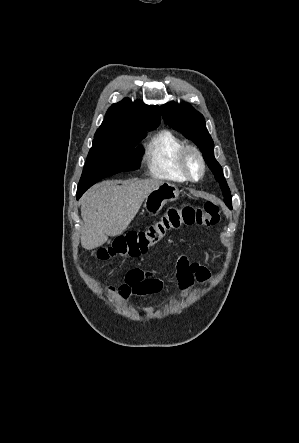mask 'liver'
Here are the masks:
<instances>
[{
  "instance_id": "liver-1",
  "label": "liver",
  "mask_w": 299,
  "mask_h": 443,
  "mask_svg": "<svg viewBox=\"0 0 299 443\" xmlns=\"http://www.w3.org/2000/svg\"><path fill=\"white\" fill-rule=\"evenodd\" d=\"M163 183L155 179L107 180L90 188L81 198V245L91 250L102 246L109 236L122 234L149 193Z\"/></svg>"
}]
</instances>
